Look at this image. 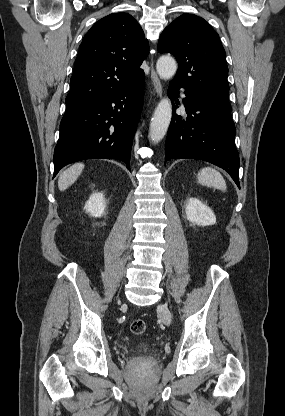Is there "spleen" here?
Masks as SVG:
<instances>
[{
  "mask_svg": "<svg viewBox=\"0 0 285 416\" xmlns=\"http://www.w3.org/2000/svg\"><path fill=\"white\" fill-rule=\"evenodd\" d=\"M197 180L201 186L216 188V190H221V192H226L227 190L223 176L217 170H213V168H203V170H200L197 174Z\"/></svg>",
  "mask_w": 285,
  "mask_h": 416,
  "instance_id": "obj_1",
  "label": "spleen"
}]
</instances>
